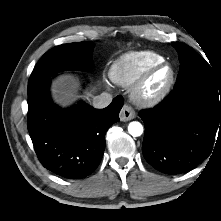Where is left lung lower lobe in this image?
<instances>
[{"instance_id": "0a47b994", "label": "left lung lower lobe", "mask_w": 221, "mask_h": 221, "mask_svg": "<svg viewBox=\"0 0 221 221\" xmlns=\"http://www.w3.org/2000/svg\"><path fill=\"white\" fill-rule=\"evenodd\" d=\"M221 95L200 85L174 88L153 109L143 110L142 152L158 171L177 175L206 159L221 137ZM218 139V137H217Z\"/></svg>"}]
</instances>
